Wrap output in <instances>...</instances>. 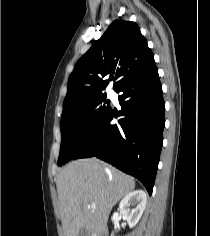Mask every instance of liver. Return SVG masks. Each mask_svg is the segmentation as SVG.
Listing matches in <instances>:
<instances>
[{
	"label": "liver",
	"mask_w": 210,
	"mask_h": 236,
	"mask_svg": "<svg viewBox=\"0 0 210 236\" xmlns=\"http://www.w3.org/2000/svg\"><path fill=\"white\" fill-rule=\"evenodd\" d=\"M134 189L132 177L99 159L69 163L57 178L64 236H78L82 228L88 236L99 235L113 206Z\"/></svg>",
	"instance_id": "liver-1"
}]
</instances>
